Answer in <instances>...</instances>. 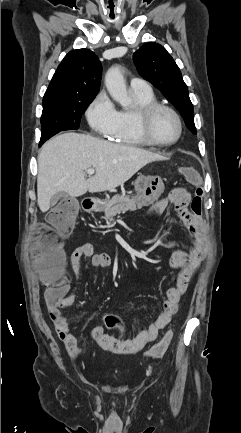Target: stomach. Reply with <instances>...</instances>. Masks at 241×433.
Returning <instances> with one entry per match:
<instances>
[{
    "instance_id": "stomach-1",
    "label": "stomach",
    "mask_w": 241,
    "mask_h": 433,
    "mask_svg": "<svg viewBox=\"0 0 241 433\" xmlns=\"http://www.w3.org/2000/svg\"><path fill=\"white\" fill-rule=\"evenodd\" d=\"M165 185L160 176L140 175L135 181L136 200L143 205L156 201L164 192Z\"/></svg>"
}]
</instances>
